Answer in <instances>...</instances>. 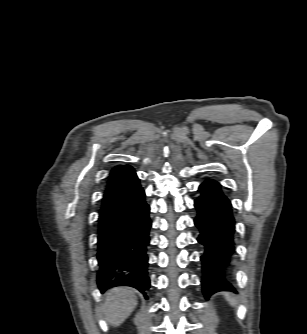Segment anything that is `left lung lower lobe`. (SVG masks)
<instances>
[{
	"label": "left lung lower lobe",
	"mask_w": 307,
	"mask_h": 334,
	"mask_svg": "<svg viewBox=\"0 0 307 334\" xmlns=\"http://www.w3.org/2000/svg\"><path fill=\"white\" fill-rule=\"evenodd\" d=\"M201 196L195 200L198 215L194 220L200 230L198 242L205 247L201 256L206 298L218 291H235L228 281L229 267L235 253L233 235L235 221L231 203L214 180H206L199 187Z\"/></svg>",
	"instance_id": "0a47b994"
}]
</instances>
